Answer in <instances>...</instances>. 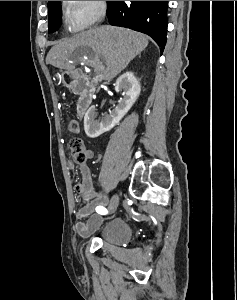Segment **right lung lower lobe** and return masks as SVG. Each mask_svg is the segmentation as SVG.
Segmentation results:
<instances>
[{
    "instance_id": "right-lung-lower-lobe-1",
    "label": "right lung lower lobe",
    "mask_w": 237,
    "mask_h": 300,
    "mask_svg": "<svg viewBox=\"0 0 237 300\" xmlns=\"http://www.w3.org/2000/svg\"><path fill=\"white\" fill-rule=\"evenodd\" d=\"M168 1H108L107 17L114 26L151 36L164 50L167 40Z\"/></svg>"
}]
</instances>
